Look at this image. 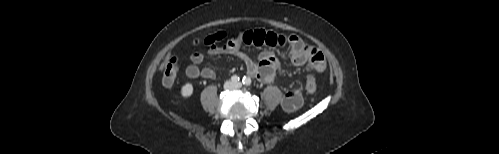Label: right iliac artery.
Instances as JSON below:
<instances>
[{
	"instance_id": "obj_1",
	"label": "right iliac artery",
	"mask_w": 499,
	"mask_h": 154,
	"mask_svg": "<svg viewBox=\"0 0 499 154\" xmlns=\"http://www.w3.org/2000/svg\"><path fill=\"white\" fill-rule=\"evenodd\" d=\"M231 80H232V82L237 83V82H239L240 78H239V76H237V75H233V76L231 77Z\"/></svg>"
}]
</instances>
